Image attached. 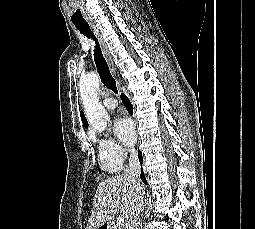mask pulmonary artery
Returning a JSON list of instances; mask_svg holds the SVG:
<instances>
[{"label":"pulmonary artery","instance_id":"pulmonary-artery-1","mask_svg":"<svg viewBox=\"0 0 255 229\" xmlns=\"http://www.w3.org/2000/svg\"><path fill=\"white\" fill-rule=\"evenodd\" d=\"M103 105L110 110L117 107V101L114 98L108 97L103 100Z\"/></svg>","mask_w":255,"mask_h":229}]
</instances>
